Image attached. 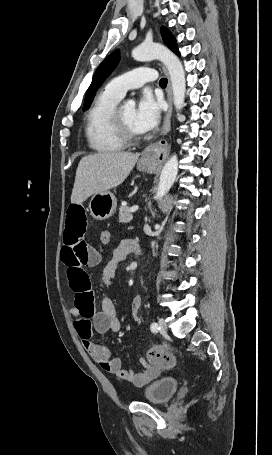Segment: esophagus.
Wrapping results in <instances>:
<instances>
[{
    "mask_svg": "<svg viewBox=\"0 0 272 455\" xmlns=\"http://www.w3.org/2000/svg\"><path fill=\"white\" fill-rule=\"evenodd\" d=\"M165 71L166 76L168 77V87H167V100H168V111L166 113L164 123H163V128H162V134L166 135L169 130H170V119H171V114H172V88H171V83L169 79V74L165 68H163ZM170 151V145L165 139H161L158 142L151 143L148 145L143 153L142 157L145 160H149L158 164L163 163L166 158L169 155Z\"/></svg>",
    "mask_w": 272,
    "mask_h": 455,
    "instance_id": "34e87169",
    "label": "esophagus"
}]
</instances>
